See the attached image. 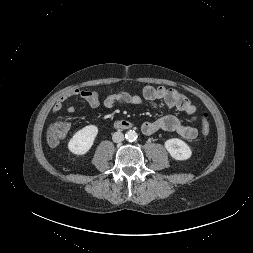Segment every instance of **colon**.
Instances as JSON below:
<instances>
[{
	"label": "colon",
	"mask_w": 253,
	"mask_h": 253,
	"mask_svg": "<svg viewBox=\"0 0 253 253\" xmlns=\"http://www.w3.org/2000/svg\"><path fill=\"white\" fill-rule=\"evenodd\" d=\"M70 129V125L66 121H58L53 123L47 132V139L50 145L56 146L66 136ZM201 130L204 136H207L210 132L209 116L207 113H203L201 116Z\"/></svg>",
	"instance_id": "1"
}]
</instances>
